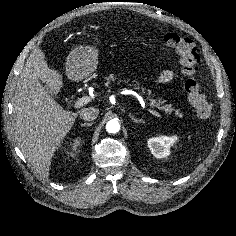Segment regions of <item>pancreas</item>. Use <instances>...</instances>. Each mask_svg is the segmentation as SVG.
Listing matches in <instances>:
<instances>
[{
    "label": "pancreas",
    "mask_w": 236,
    "mask_h": 236,
    "mask_svg": "<svg viewBox=\"0 0 236 236\" xmlns=\"http://www.w3.org/2000/svg\"><path fill=\"white\" fill-rule=\"evenodd\" d=\"M105 86H109L111 84H115L116 81L120 82L121 80H117L116 76L114 74H109V76L104 77ZM135 89H139L138 85H134ZM150 105L154 107H158L163 104L162 100H155V99H149ZM161 110L165 111L166 113H172L174 112L177 117H182L183 114L180 112L179 109H174L171 107V105H163L160 107Z\"/></svg>",
    "instance_id": "cf45deb5"
}]
</instances>
